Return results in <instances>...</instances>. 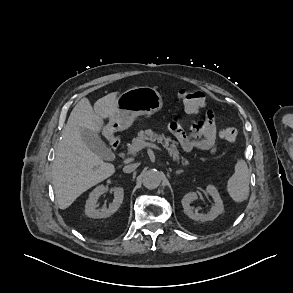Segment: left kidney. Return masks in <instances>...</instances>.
Listing matches in <instances>:
<instances>
[{"mask_svg":"<svg viewBox=\"0 0 293 293\" xmlns=\"http://www.w3.org/2000/svg\"><path fill=\"white\" fill-rule=\"evenodd\" d=\"M206 193L210 195L214 201L212 209L208 213H198V211H193L191 204L198 199V194L196 192L187 193L181 203L184 209V213L191 219L196 221H212L222 214L224 207L223 201L218 193L217 188L214 185H208L206 188Z\"/></svg>","mask_w":293,"mask_h":293,"instance_id":"obj_1","label":"left kidney"}]
</instances>
